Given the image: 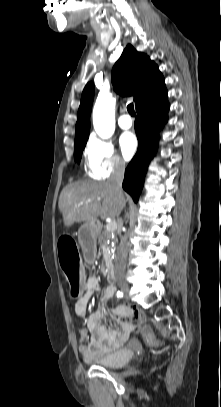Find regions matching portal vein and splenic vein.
Returning a JSON list of instances; mask_svg holds the SVG:
<instances>
[{"mask_svg": "<svg viewBox=\"0 0 221 407\" xmlns=\"http://www.w3.org/2000/svg\"><path fill=\"white\" fill-rule=\"evenodd\" d=\"M91 200H84L83 203H90ZM117 229V223L115 221H111L106 225V230L108 232H113Z\"/></svg>", "mask_w": 221, "mask_h": 407, "instance_id": "obj_1", "label": "portal vein and splenic vein"}]
</instances>
